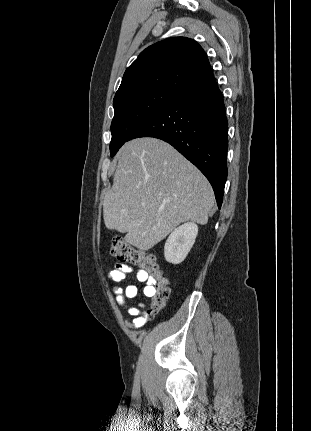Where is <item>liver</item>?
<instances>
[{
  "label": "liver",
  "mask_w": 311,
  "mask_h": 431,
  "mask_svg": "<svg viewBox=\"0 0 311 431\" xmlns=\"http://www.w3.org/2000/svg\"><path fill=\"white\" fill-rule=\"evenodd\" d=\"M111 190L103 200L108 229L125 241L151 249L182 221L205 225L215 206L205 176L172 146L156 138H137L118 152Z\"/></svg>",
  "instance_id": "obj_1"
}]
</instances>
